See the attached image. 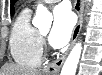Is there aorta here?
<instances>
[{"instance_id":"762f6f07","label":"aorta","mask_w":102,"mask_h":75,"mask_svg":"<svg viewBox=\"0 0 102 75\" xmlns=\"http://www.w3.org/2000/svg\"><path fill=\"white\" fill-rule=\"evenodd\" d=\"M52 15L43 5H38L35 17L33 19L34 26L38 28H50L52 22ZM82 45L78 42L70 54L68 55L62 70L61 75H75L77 66L80 60Z\"/></svg>"}]
</instances>
